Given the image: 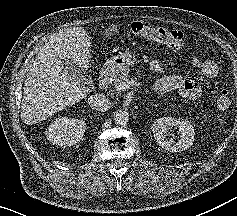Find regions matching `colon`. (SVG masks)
I'll list each match as a JSON object with an SVG mask.
<instances>
[{
    "mask_svg": "<svg viewBox=\"0 0 237 216\" xmlns=\"http://www.w3.org/2000/svg\"><path fill=\"white\" fill-rule=\"evenodd\" d=\"M130 30L136 36L164 43L172 48H180L184 43V35L180 31H168L142 22H133L130 25ZM230 105L231 98L229 92L222 90L217 98V107L220 110H227Z\"/></svg>",
    "mask_w": 237,
    "mask_h": 216,
    "instance_id": "colon-1",
    "label": "colon"
}]
</instances>
